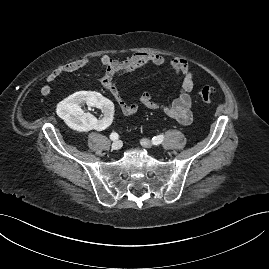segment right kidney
I'll list each match as a JSON object with an SVG mask.
<instances>
[{
  "label": "right kidney",
  "instance_id": "right-kidney-1",
  "mask_svg": "<svg viewBox=\"0 0 269 269\" xmlns=\"http://www.w3.org/2000/svg\"><path fill=\"white\" fill-rule=\"evenodd\" d=\"M100 108L105 113L95 118L90 113H84L81 104ZM113 103L97 92L81 91L69 96L57 106L58 115L72 129L79 131H103L111 126L113 120Z\"/></svg>",
  "mask_w": 269,
  "mask_h": 269
}]
</instances>
